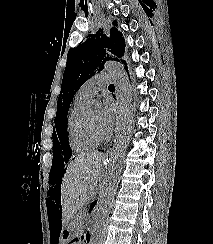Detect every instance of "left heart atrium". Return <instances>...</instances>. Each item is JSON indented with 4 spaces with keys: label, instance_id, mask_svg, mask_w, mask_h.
Instances as JSON below:
<instances>
[{
    "label": "left heart atrium",
    "instance_id": "39dd6f15",
    "mask_svg": "<svg viewBox=\"0 0 213 244\" xmlns=\"http://www.w3.org/2000/svg\"><path fill=\"white\" fill-rule=\"evenodd\" d=\"M116 118V107L111 100H106L102 112L101 125L106 133L111 132Z\"/></svg>",
    "mask_w": 213,
    "mask_h": 244
}]
</instances>
